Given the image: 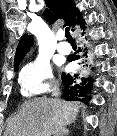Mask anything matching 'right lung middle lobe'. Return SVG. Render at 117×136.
I'll return each mask as SVG.
<instances>
[{"label": "right lung middle lobe", "instance_id": "right-lung-middle-lobe-1", "mask_svg": "<svg viewBox=\"0 0 117 136\" xmlns=\"http://www.w3.org/2000/svg\"><path fill=\"white\" fill-rule=\"evenodd\" d=\"M18 67H15L14 70L17 71Z\"/></svg>", "mask_w": 117, "mask_h": 136}]
</instances>
